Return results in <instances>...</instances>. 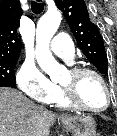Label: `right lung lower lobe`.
Here are the masks:
<instances>
[{"mask_svg":"<svg viewBox=\"0 0 117 136\" xmlns=\"http://www.w3.org/2000/svg\"><path fill=\"white\" fill-rule=\"evenodd\" d=\"M0 87H12V88H15V86H13V85H6V84H2V85H0Z\"/></svg>","mask_w":117,"mask_h":136,"instance_id":"98d812e1","label":"right lung lower lobe"}]
</instances>
